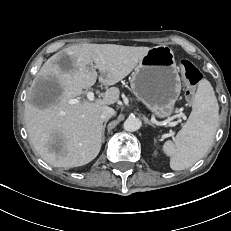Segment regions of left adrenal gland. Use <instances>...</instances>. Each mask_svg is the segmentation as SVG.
Masks as SVG:
<instances>
[{
    "instance_id": "obj_1",
    "label": "left adrenal gland",
    "mask_w": 231,
    "mask_h": 231,
    "mask_svg": "<svg viewBox=\"0 0 231 231\" xmlns=\"http://www.w3.org/2000/svg\"><path fill=\"white\" fill-rule=\"evenodd\" d=\"M145 123L151 125L152 127H155L154 124H152L146 117H144Z\"/></svg>"
}]
</instances>
